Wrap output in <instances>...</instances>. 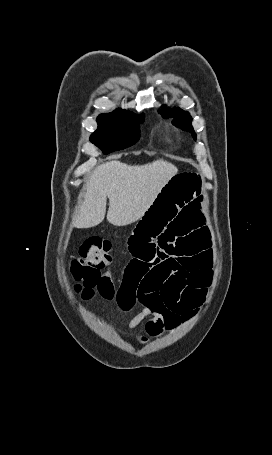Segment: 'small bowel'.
<instances>
[{
    "label": "small bowel",
    "mask_w": 272,
    "mask_h": 455,
    "mask_svg": "<svg viewBox=\"0 0 272 455\" xmlns=\"http://www.w3.org/2000/svg\"><path fill=\"white\" fill-rule=\"evenodd\" d=\"M203 180L196 172L173 175L129 238L132 259L115 296L119 309L142 308L127 324L145 322L156 337L191 317L210 283L211 237L201 211ZM140 337L139 342H146Z\"/></svg>",
    "instance_id": "1"
}]
</instances>
